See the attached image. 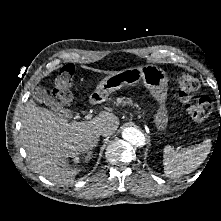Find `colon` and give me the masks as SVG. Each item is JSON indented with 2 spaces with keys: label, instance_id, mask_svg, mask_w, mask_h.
I'll use <instances>...</instances> for the list:
<instances>
[{
  "label": "colon",
  "instance_id": "obj_1",
  "mask_svg": "<svg viewBox=\"0 0 221 221\" xmlns=\"http://www.w3.org/2000/svg\"><path fill=\"white\" fill-rule=\"evenodd\" d=\"M75 67L72 64L64 65L54 80L52 96L61 104L69 106L72 103L71 86ZM179 99L185 111L195 122H204L210 116L213 104L209 97L202 96L195 98L199 89V82L194 77L182 73L177 78Z\"/></svg>",
  "mask_w": 221,
  "mask_h": 221
}]
</instances>
